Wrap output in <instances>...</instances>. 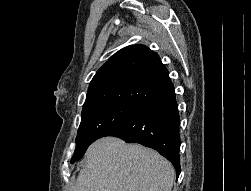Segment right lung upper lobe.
Segmentation results:
<instances>
[{
  "mask_svg": "<svg viewBox=\"0 0 251 191\" xmlns=\"http://www.w3.org/2000/svg\"><path fill=\"white\" fill-rule=\"evenodd\" d=\"M173 87L159 56L144 45L127 46L97 71L83 110L106 103L143 107Z\"/></svg>",
  "mask_w": 251,
  "mask_h": 191,
  "instance_id": "1",
  "label": "right lung upper lobe"
}]
</instances>
